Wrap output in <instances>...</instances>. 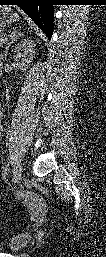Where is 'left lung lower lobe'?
<instances>
[{
    "label": "left lung lower lobe",
    "instance_id": "obj_1",
    "mask_svg": "<svg viewBox=\"0 0 106 257\" xmlns=\"http://www.w3.org/2000/svg\"><path fill=\"white\" fill-rule=\"evenodd\" d=\"M52 0H0L1 5H18L50 39L53 32Z\"/></svg>",
    "mask_w": 106,
    "mask_h": 257
}]
</instances>
